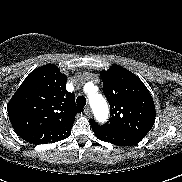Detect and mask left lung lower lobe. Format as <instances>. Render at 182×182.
Instances as JSON below:
<instances>
[{"label":"left lung lower lobe","mask_w":182,"mask_h":182,"mask_svg":"<svg viewBox=\"0 0 182 182\" xmlns=\"http://www.w3.org/2000/svg\"><path fill=\"white\" fill-rule=\"evenodd\" d=\"M91 127L98 139L119 146H131L142 140L125 133L108 130L99 126L91 125Z\"/></svg>","instance_id":"obj_1"}]
</instances>
